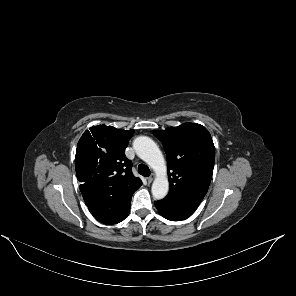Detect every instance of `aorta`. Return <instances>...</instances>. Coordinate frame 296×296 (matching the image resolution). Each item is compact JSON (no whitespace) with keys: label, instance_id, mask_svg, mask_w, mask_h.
I'll list each match as a JSON object with an SVG mask.
<instances>
[{"label":"aorta","instance_id":"1","mask_svg":"<svg viewBox=\"0 0 296 296\" xmlns=\"http://www.w3.org/2000/svg\"><path fill=\"white\" fill-rule=\"evenodd\" d=\"M133 148L143 161H145L157 174L152 184V195L155 199L165 198L169 183L166 177V163L156 143L147 136H139L133 142Z\"/></svg>","mask_w":296,"mask_h":296}]
</instances>
